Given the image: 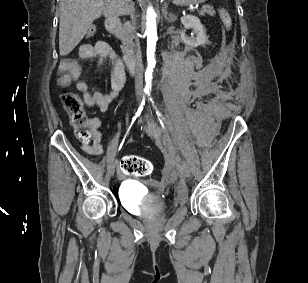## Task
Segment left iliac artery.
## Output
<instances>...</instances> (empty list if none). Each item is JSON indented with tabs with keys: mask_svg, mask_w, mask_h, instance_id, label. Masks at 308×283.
I'll list each match as a JSON object with an SVG mask.
<instances>
[{
	"mask_svg": "<svg viewBox=\"0 0 308 283\" xmlns=\"http://www.w3.org/2000/svg\"><path fill=\"white\" fill-rule=\"evenodd\" d=\"M150 100H151V98H150ZM157 114H158V112H157ZM158 115L160 116V114H158ZM159 121H160V124H161L163 130L169 136V132L168 131H170V133H172V129L169 126L168 122L164 118H162V117L159 118Z\"/></svg>",
	"mask_w": 308,
	"mask_h": 283,
	"instance_id": "1",
	"label": "left iliac artery"
}]
</instances>
